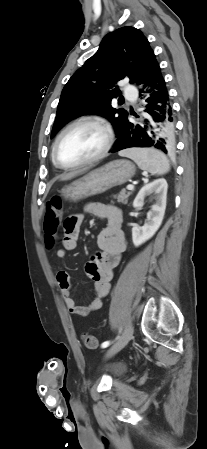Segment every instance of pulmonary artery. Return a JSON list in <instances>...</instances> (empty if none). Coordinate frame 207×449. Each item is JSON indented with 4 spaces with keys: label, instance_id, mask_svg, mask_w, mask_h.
<instances>
[{
    "label": "pulmonary artery",
    "instance_id": "obj_1",
    "mask_svg": "<svg viewBox=\"0 0 207 449\" xmlns=\"http://www.w3.org/2000/svg\"><path fill=\"white\" fill-rule=\"evenodd\" d=\"M137 96V90L134 86L129 85L126 89H125V97L130 99V100H134Z\"/></svg>",
    "mask_w": 207,
    "mask_h": 449
}]
</instances>
